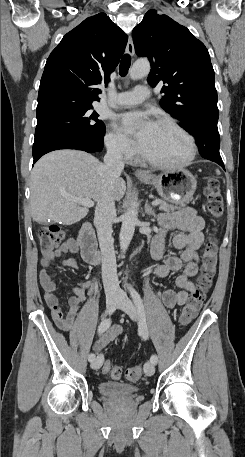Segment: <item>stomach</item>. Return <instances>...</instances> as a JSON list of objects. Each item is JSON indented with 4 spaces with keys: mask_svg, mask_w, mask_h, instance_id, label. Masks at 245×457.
I'll return each instance as SVG.
<instances>
[{
    "mask_svg": "<svg viewBox=\"0 0 245 457\" xmlns=\"http://www.w3.org/2000/svg\"><path fill=\"white\" fill-rule=\"evenodd\" d=\"M146 184H154L160 196L168 202H186L192 198L196 186V176L186 168H171L165 170L162 174L155 176L153 174L152 180H145L140 178Z\"/></svg>",
    "mask_w": 245,
    "mask_h": 457,
    "instance_id": "1",
    "label": "stomach"
}]
</instances>
